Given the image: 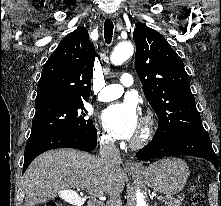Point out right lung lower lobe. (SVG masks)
Masks as SVG:
<instances>
[{"label": "right lung lower lobe", "mask_w": 221, "mask_h": 206, "mask_svg": "<svg viewBox=\"0 0 221 206\" xmlns=\"http://www.w3.org/2000/svg\"><path fill=\"white\" fill-rule=\"evenodd\" d=\"M96 144L95 127L88 131L55 132L30 137L25 147L23 172L38 155L45 151L56 148H75L89 152L96 148Z\"/></svg>", "instance_id": "98d812e1"}]
</instances>
